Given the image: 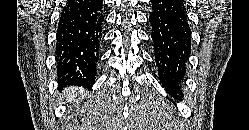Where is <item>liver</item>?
<instances>
[{
    "mask_svg": "<svg viewBox=\"0 0 249 130\" xmlns=\"http://www.w3.org/2000/svg\"><path fill=\"white\" fill-rule=\"evenodd\" d=\"M78 93L79 92L77 88H69L65 94L66 102H77Z\"/></svg>",
    "mask_w": 249,
    "mask_h": 130,
    "instance_id": "liver-1",
    "label": "liver"
}]
</instances>
